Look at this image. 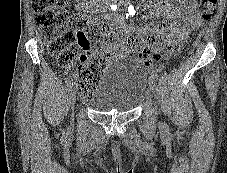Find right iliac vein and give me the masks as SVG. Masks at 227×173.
<instances>
[{"mask_svg": "<svg viewBox=\"0 0 227 173\" xmlns=\"http://www.w3.org/2000/svg\"><path fill=\"white\" fill-rule=\"evenodd\" d=\"M75 99H76L75 88H71V90H70V103H71L72 110L74 108Z\"/></svg>", "mask_w": 227, "mask_h": 173, "instance_id": "obj_1", "label": "right iliac vein"}]
</instances>
